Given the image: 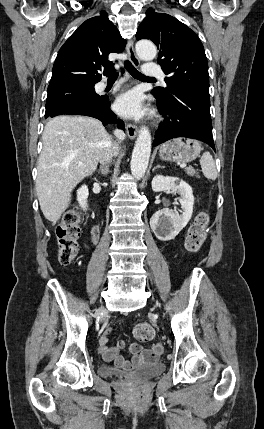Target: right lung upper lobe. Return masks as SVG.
Masks as SVG:
<instances>
[{"mask_svg": "<svg viewBox=\"0 0 264 429\" xmlns=\"http://www.w3.org/2000/svg\"><path fill=\"white\" fill-rule=\"evenodd\" d=\"M123 39L105 11L86 20L61 47L48 88L69 84H95L113 69L108 55L124 50Z\"/></svg>", "mask_w": 264, "mask_h": 429, "instance_id": "right-lung-upper-lobe-1", "label": "right lung upper lobe"}]
</instances>
